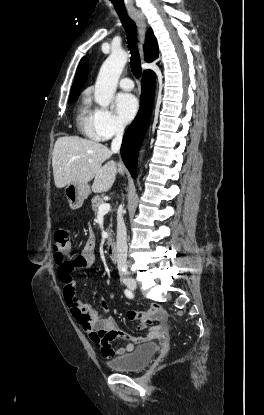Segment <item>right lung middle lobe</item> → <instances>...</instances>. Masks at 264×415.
Here are the masks:
<instances>
[{"mask_svg":"<svg viewBox=\"0 0 264 415\" xmlns=\"http://www.w3.org/2000/svg\"><path fill=\"white\" fill-rule=\"evenodd\" d=\"M75 98H76V95H75V96H71V97L69 98V102H68V103H69V104H70V103H72V102L75 100Z\"/></svg>","mask_w":264,"mask_h":415,"instance_id":"1","label":"right lung middle lobe"}]
</instances>
